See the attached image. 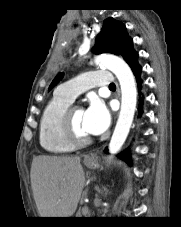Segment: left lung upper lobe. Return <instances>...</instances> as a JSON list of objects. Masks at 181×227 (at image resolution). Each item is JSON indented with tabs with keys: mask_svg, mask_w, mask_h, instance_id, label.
<instances>
[{
	"mask_svg": "<svg viewBox=\"0 0 181 227\" xmlns=\"http://www.w3.org/2000/svg\"><path fill=\"white\" fill-rule=\"evenodd\" d=\"M132 49V39L126 32V27L122 22L113 18H107L103 22V27L96 39L93 51L99 53H112L123 57ZM64 73H58L49 86L51 90L63 77Z\"/></svg>",
	"mask_w": 181,
	"mask_h": 227,
	"instance_id": "1",
	"label": "left lung upper lobe"
}]
</instances>
